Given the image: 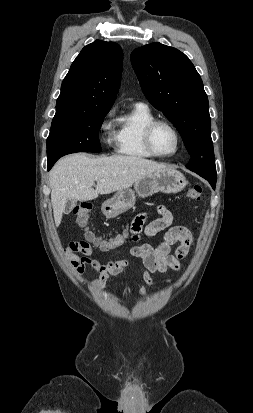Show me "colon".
<instances>
[{"instance_id":"colon-1","label":"colon","mask_w":253,"mask_h":413,"mask_svg":"<svg viewBox=\"0 0 253 413\" xmlns=\"http://www.w3.org/2000/svg\"><path fill=\"white\" fill-rule=\"evenodd\" d=\"M187 195L192 200H199L202 195V187L200 185L191 186L187 192ZM91 210L92 206L90 203H81L74 208L73 213L76 216L77 223L81 227H87ZM126 237L127 233L125 232L109 239H103L90 230H87L86 232L87 240L105 252L114 250L122 246L125 242Z\"/></svg>"}]
</instances>
